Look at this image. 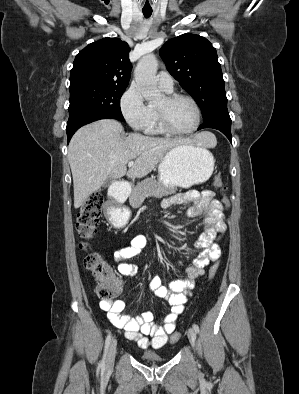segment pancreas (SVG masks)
<instances>
[{"label":"pancreas","instance_id":"pancreas-1","mask_svg":"<svg viewBox=\"0 0 299 394\" xmlns=\"http://www.w3.org/2000/svg\"><path fill=\"white\" fill-rule=\"evenodd\" d=\"M176 191V188L167 189L159 181L149 178L138 183L133 189V193L130 197V204L133 207L140 206L145 198L156 197L161 198L166 195H170Z\"/></svg>","mask_w":299,"mask_h":394}]
</instances>
